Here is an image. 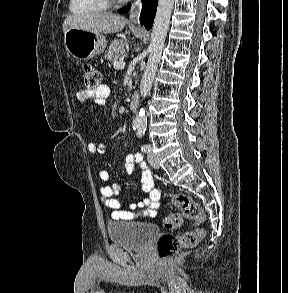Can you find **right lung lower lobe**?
Segmentation results:
<instances>
[{
	"instance_id": "right-lung-lower-lobe-1",
	"label": "right lung lower lobe",
	"mask_w": 288,
	"mask_h": 293,
	"mask_svg": "<svg viewBox=\"0 0 288 293\" xmlns=\"http://www.w3.org/2000/svg\"><path fill=\"white\" fill-rule=\"evenodd\" d=\"M157 1L158 0H143L144 5L140 15V23L145 25L147 30H149L152 26L157 7Z\"/></svg>"
}]
</instances>
